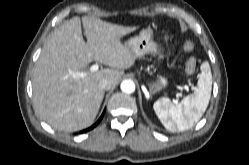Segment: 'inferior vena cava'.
I'll use <instances>...</instances> for the list:
<instances>
[{"label": "inferior vena cava", "instance_id": "inferior-vena-cava-1", "mask_svg": "<svg viewBox=\"0 0 249 165\" xmlns=\"http://www.w3.org/2000/svg\"><path fill=\"white\" fill-rule=\"evenodd\" d=\"M100 88L103 90H109L112 88V83L109 80H103L100 82Z\"/></svg>", "mask_w": 249, "mask_h": 165}]
</instances>
